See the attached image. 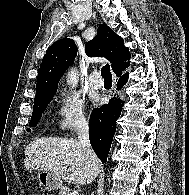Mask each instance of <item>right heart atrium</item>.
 <instances>
[{"instance_id":"1","label":"right heart atrium","mask_w":189,"mask_h":195,"mask_svg":"<svg viewBox=\"0 0 189 195\" xmlns=\"http://www.w3.org/2000/svg\"><path fill=\"white\" fill-rule=\"evenodd\" d=\"M56 102L57 127L60 132L74 131L87 125L88 115L81 96L69 90H62L58 93Z\"/></svg>"}]
</instances>
